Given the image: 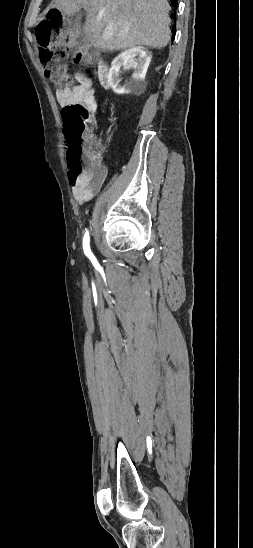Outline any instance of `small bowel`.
<instances>
[{
    "instance_id": "1",
    "label": "small bowel",
    "mask_w": 253,
    "mask_h": 548,
    "mask_svg": "<svg viewBox=\"0 0 253 548\" xmlns=\"http://www.w3.org/2000/svg\"><path fill=\"white\" fill-rule=\"evenodd\" d=\"M78 85L73 88L56 91V99L61 106L73 104H86L93 114H97V102L92 88V82L81 73L75 74ZM107 176V170L102 166L101 174L97 177L84 176L77 181H72V193L79 204L90 201L101 189Z\"/></svg>"
}]
</instances>
